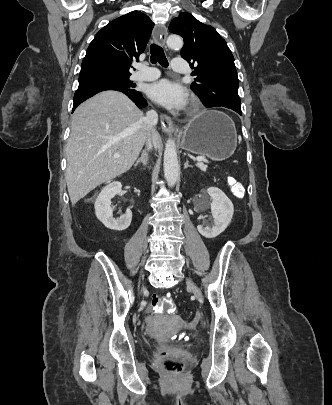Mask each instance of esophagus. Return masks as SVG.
<instances>
[{
	"mask_svg": "<svg viewBox=\"0 0 332 405\" xmlns=\"http://www.w3.org/2000/svg\"><path fill=\"white\" fill-rule=\"evenodd\" d=\"M167 35V27L164 24H158L155 26L153 31L154 40L163 47H165ZM161 127L166 133H172L176 131L171 118L167 115H161Z\"/></svg>",
	"mask_w": 332,
	"mask_h": 405,
	"instance_id": "esophagus-1",
	"label": "esophagus"
}]
</instances>
